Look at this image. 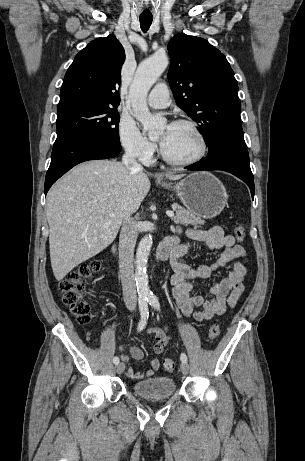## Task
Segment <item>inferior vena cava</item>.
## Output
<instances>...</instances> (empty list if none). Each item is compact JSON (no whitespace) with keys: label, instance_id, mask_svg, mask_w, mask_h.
<instances>
[{"label":"inferior vena cava","instance_id":"obj_1","mask_svg":"<svg viewBox=\"0 0 305 461\" xmlns=\"http://www.w3.org/2000/svg\"><path fill=\"white\" fill-rule=\"evenodd\" d=\"M122 163L132 172H142L143 167L136 161L132 152L127 151ZM137 224L130 215L124 217L119 239V272L122 282L123 297L127 308L135 309L137 293L134 279L133 260L137 241Z\"/></svg>","mask_w":305,"mask_h":461}]
</instances>
